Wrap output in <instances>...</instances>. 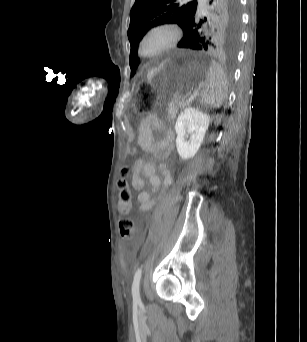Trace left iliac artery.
I'll use <instances>...</instances> for the list:
<instances>
[{"instance_id":"left-iliac-artery-1","label":"left iliac artery","mask_w":307,"mask_h":342,"mask_svg":"<svg viewBox=\"0 0 307 342\" xmlns=\"http://www.w3.org/2000/svg\"><path fill=\"white\" fill-rule=\"evenodd\" d=\"M142 269L138 268L135 272L133 284H132V296L134 303H141L140 292H139V284L141 279Z\"/></svg>"}]
</instances>
